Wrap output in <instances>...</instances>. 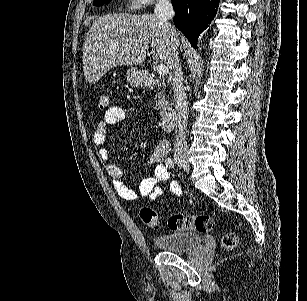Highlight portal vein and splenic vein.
<instances>
[{"mask_svg": "<svg viewBox=\"0 0 307 301\" xmlns=\"http://www.w3.org/2000/svg\"><path fill=\"white\" fill-rule=\"evenodd\" d=\"M156 70L160 76H166V74L169 72L168 66H166V64H162V62L161 64H157Z\"/></svg>", "mask_w": 307, "mask_h": 301, "instance_id": "18ae733b", "label": "portal vein and splenic vein"}]
</instances>
